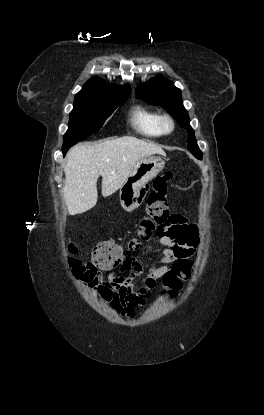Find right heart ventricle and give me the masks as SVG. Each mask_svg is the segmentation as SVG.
I'll return each mask as SVG.
<instances>
[{"label":"right heart ventricle","mask_w":264,"mask_h":415,"mask_svg":"<svg viewBox=\"0 0 264 415\" xmlns=\"http://www.w3.org/2000/svg\"><path fill=\"white\" fill-rule=\"evenodd\" d=\"M159 117L157 111L137 105L131 110L129 122L139 135L145 138H157L162 135Z\"/></svg>","instance_id":"1"}]
</instances>
